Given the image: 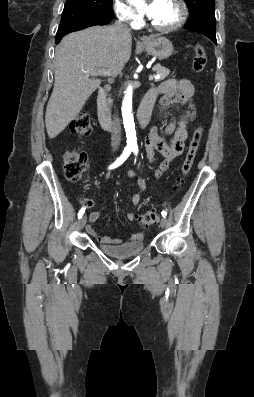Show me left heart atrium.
Listing matches in <instances>:
<instances>
[{
	"mask_svg": "<svg viewBox=\"0 0 254 397\" xmlns=\"http://www.w3.org/2000/svg\"><path fill=\"white\" fill-rule=\"evenodd\" d=\"M159 2L160 0H152L150 2H145L144 0H133L134 5L150 17L156 11Z\"/></svg>",
	"mask_w": 254,
	"mask_h": 397,
	"instance_id": "left-heart-atrium-1",
	"label": "left heart atrium"
}]
</instances>
